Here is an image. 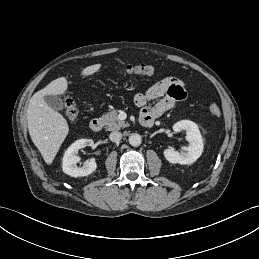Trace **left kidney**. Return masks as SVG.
Listing matches in <instances>:
<instances>
[{
	"label": "left kidney",
	"mask_w": 259,
	"mask_h": 259,
	"mask_svg": "<svg viewBox=\"0 0 259 259\" xmlns=\"http://www.w3.org/2000/svg\"><path fill=\"white\" fill-rule=\"evenodd\" d=\"M175 132L185 131L188 147L186 152H178L173 149H165L164 157L172 164L189 165L195 162L203 152V139L196 123L190 120H181L173 125Z\"/></svg>",
	"instance_id": "obj_1"
}]
</instances>
